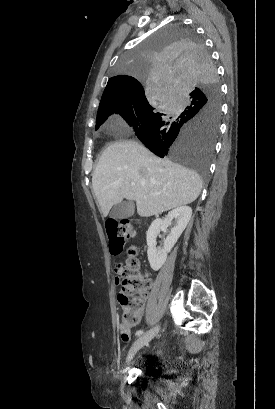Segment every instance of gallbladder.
<instances>
[{
    "instance_id": "1",
    "label": "gallbladder",
    "mask_w": 275,
    "mask_h": 409,
    "mask_svg": "<svg viewBox=\"0 0 275 409\" xmlns=\"http://www.w3.org/2000/svg\"><path fill=\"white\" fill-rule=\"evenodd\" d=\"M133 213V202L123 200V202H118V205H114L110 213V219H127V217H131Z\"/></svg>"
}]
</instances>
